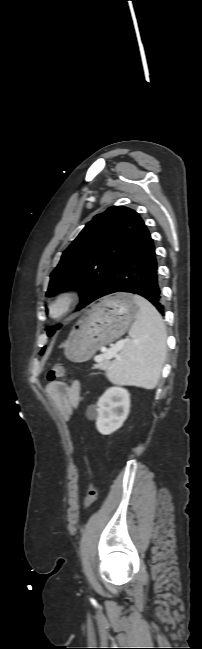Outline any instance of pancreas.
I'll return each mask as SVG.
<instances>
[{
	"mask_svg": "<svg viewBox=\"0 0 202 649\" xmlns=\"http://www.w3.org/2000/svg\"><path fill=\"white\" fill-rule=\"evenodd\" d=\"M109 365H110L109 359H104L96 365V368L106 371L108 370Z\"/></svg>",
	"mask_w": 202,
	"mask_h": 649,
	"instance_id": "obj_1",
	"label": "pancreas"
}]
</instances>
